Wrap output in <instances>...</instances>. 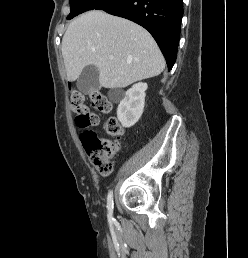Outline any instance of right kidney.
I'll use <instances>...</instances> for the list:
<instances>
[{
    "label": "right kidney",
    "instance_id": "ca27d5eb",
    "mask_svg": "<svg viewBox=\"0 0 248 258\" xmlns=\"http://www.w3.org/2000/svg\"><path fill=\"white\" fill-rule=\"evenodd\" d=\"M146 83L133 85L126 93L123 91H113L109 93V98L119 101L117 108V118L123 127H132L141 117L145 104Z\"/></svg>",
    "mask_w": 248,
    "mask_h": 258
}]
</instances>
